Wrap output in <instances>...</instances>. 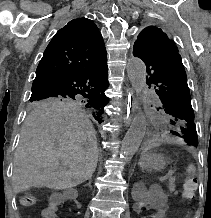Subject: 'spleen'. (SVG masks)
I'll return each instance as SVG.
<instances>
[{"instance_id": "1", "label": "spleen", "mask_w": 211, "mask_h": 218, "mask_svg": "<svg viewBox=\"0 0 211 218\" xmlns=\"http://www.w3.org/2000/svg\"><path fill=\"white\" fill-rule=\"evenodd\" d=\"M195 168L194 166H189L187 172H194Z\"/></svg>"}]
</instances>
